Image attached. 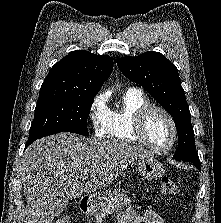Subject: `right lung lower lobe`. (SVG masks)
<instances>
[{
  "label": "right lung lower lobe",
  "instance_id": "obj_1",
  "mask_svg": "<svg viewBox=\"0 0 221 223\" xmlns=\"http://www.w3.org/2000/svg\"><path fill=\"white\" fill-rule=\"evenodd\" d=\"M31 144V142H27L25 145V149Z\"/></svg>",
  "mask_w": 221,
  "mask_h": 223
}]
</instances>
